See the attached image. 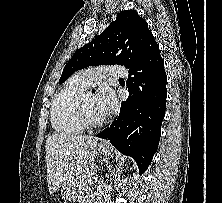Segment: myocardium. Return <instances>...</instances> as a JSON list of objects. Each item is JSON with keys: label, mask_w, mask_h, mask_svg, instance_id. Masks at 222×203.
Wrapping results in <instances>:
<instances>
[{"label": "myocardium", "mask_w": 222, "mask_h": 203, "mask_svg": "<svg viewBox=\"0 0 222 203\" xmlns=\"http://www.w3.org/2000/svg\"><path fill=\"white\" fill-rule=\"evenodd\" d=\"M87 95H92L90 93H83L81 97L79 98L78 104H77V112L79 119L84 127L86 128H96L101 126L106 121V117H103L98 120L91 119L85 109V98Z\"/></svg>", "instance_id": "myocardium-1"}]
</instances>
